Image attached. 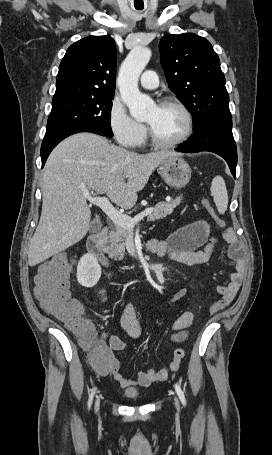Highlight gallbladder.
Masks as SVG:
<instances>
[{"label": "gallbladder", "instance_id": "gallbladder-1", "mask_svg": "<svg viewBox=\"0 0 272 455\" xmlns=\"http://www.w3.org/2000/svg\"><path fill=\"white\" fill-rule=\"evenodd\" d=\"M101 228H102V224H101L100 220H98V219L94 220L89 226V230L92 233L99 232L101 230Z\"/></svg>", "mask_w": 272, "mask_h": 455}]
</instances>
